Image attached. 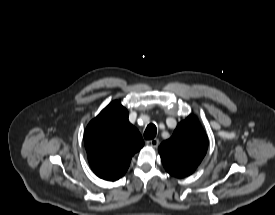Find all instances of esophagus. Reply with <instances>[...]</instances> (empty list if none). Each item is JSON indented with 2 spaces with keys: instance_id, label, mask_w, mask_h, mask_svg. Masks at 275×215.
Segmentation results:
<instances>
[{
  "instance_id": "1",
  "label": "esophagus",
  "mask_w": 275,
  "mask_h": 215,
  "mask_svg": "<svg viewBox=\"0 0 275 215\" xmlns=\"http://www.w3.org/2000/svg\"><path fill=\"white\" fill-rule=\"evenodd\" d=\"M146 144H147L148 146H151V147H153V148H156V147H158V145H159V140H158L157 138H154V139H151V140L146 141Z\"/></svg>"
}]
</instances>
